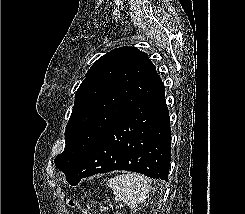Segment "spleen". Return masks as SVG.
Segmentation results:
<instances>
[{
    "label": "spleen",
    "mask_w": 245,
    "mask_h": 214,
    "mask_svg": "<svg viewBox=\"0 0 245 214\" xmlns=\"http://www.w3.org/2000/svg\"><path fill=\"white\" fill-rule=\"evenodd\" d=\"M108 187L113 190L116 201H124L130 209H135L149 196L151 180L137 173L117 175L108 181Z\"/></svg>",
    "instance_id": "obj_1"
}]
</instances>
